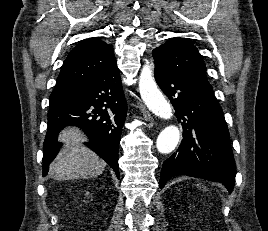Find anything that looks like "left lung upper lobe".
Returning <instances> with one entry per match:
<instances>
[{
    "label": "left lung upper lobe",
    "mask_w": 268,
    "mask_h": 231,
    "mask_svg": "<svg viewBox=\"0 0 268 231\" xmlns=\"http://www.w3.org/2000/svg\"><path fill=\"white\" fill-rule=\"evenodd\" d=\"M155 63L211 89L206 66L198 49L185 38H170L152 53Z\"/></svg>",
    "instance_id": "1"
}]
</instances>
